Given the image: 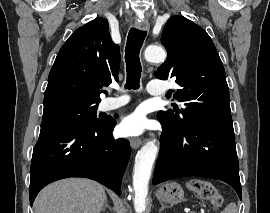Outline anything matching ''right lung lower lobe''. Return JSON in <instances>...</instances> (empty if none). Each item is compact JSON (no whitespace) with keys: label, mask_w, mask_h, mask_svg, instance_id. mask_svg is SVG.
Instances as JSON below:
<instances>
[{"label":"right lung lower lobe","mask_w":270,"mask_h":213,"mask_svg":"<svg viewBox=\"0 0 270 213\" xmlns=\"http://www.w3.org/2000/svg\"><path fill=\"white\" fill-rule=\"evenodd\" d=\"M115 125L114 119L98 126L42 122L31 161L30 204L43 187L69 177L96 180L120 195L130 146L127 140L113 137Z\"/></svg>","instance_id":"1"}]
</instances>
